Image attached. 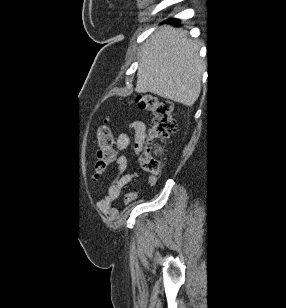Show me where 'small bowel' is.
<instances>
[{
  "label": "small bowel",
  "mask_w": 286,
  "mask_h": 308,
  "mask_svg": "<svg viewBox=\"0 0 286 308\" xmlns=\"http://www.w3.org/2000/svg\"><path fill=\"white\" fill-rule=\"evenodd\" d=\"M129 129L133 131L134 148L136 152L142 147V144L146 137L145 124L142 121H134L129 125ZM132 142V136L129 130L121 132L117 140V148L119 150L127 149ZM127 159L121 155L116 159V165L118 167L117 175L112 179L108 188L106 197L100 202V207L110 218H114L117 215V209L112 206L113 202L118 199L124 186L137 176V173H125L127 167ZM150 183L154 184L155 180L150 179ZM135 198L134 192H129L124 197L125 203H131Z\"/></svg>",
  "instance_id": "small-bowel-1"
}]
</instances>
